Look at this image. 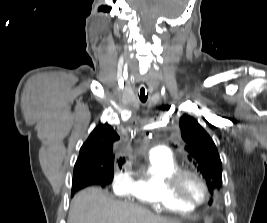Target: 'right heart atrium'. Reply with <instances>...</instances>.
Returning <instances> with one entry per match:
<instances>
[{
    "label": "right heart atrium",
    "mask_w": 267,
    "mask_h": 223,
    "mask_svg": "<svg viewBox=\"0 0 267 223\" xmlns=\"http://www.w3.org/2000/svg\"><path fill=\"white\" fill-rule=\"evenodd\" d=\"M130 184V177L123 169H117L112 176L111 187L117 195L125 194Z\"/></svg>",
    "instance_id": "1"
}]
</instances>
